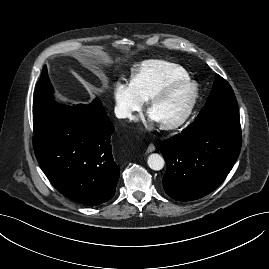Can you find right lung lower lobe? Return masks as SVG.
Here are the masks:
<instances>
[{
    "mask_svg": "<svg viewBox=\"0 0 269 269\" xmlns=\"http://www.w3.org/2000/svg\"><path fill=\"white\" fill-rule=\"evenodd\" d=\"M43 71L47 72L46 66ZM34 134L36 158L53 186L69 199L89 206L110 200L120 167L112 155L113 124L103 110L89 105Z\"/></svg>",
    "mask_w": 269,
    "mask_h": 269,
    "instance_id": "right-lung-lower-lobe-1",
    "label": "right lung lower lobe"
}]
</instances>
